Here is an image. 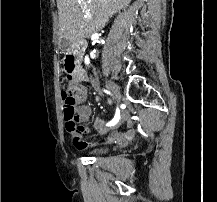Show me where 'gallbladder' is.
<instances>
[{
	"label": "gallbladder",
	"mask_w": 217,
	"mask_h": 202,
	"mask_svg": "<svg viewBox=\"0 0 217 202\" xmlns=\"http://www.w3.org/2000/svg\"><path fill=\"white\" fill-rule=\"evenodd\" d=\"M71 43L69 42L68 39L66 38H62V40H60V50L61 51H67V47H70Z\"/></svg>",
	"instance_id": "gallbladder-1"
}]
</instances>
